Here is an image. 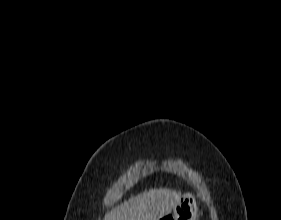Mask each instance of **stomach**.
<instances>
[{
    "mask_svg": "<svg viewBox=\"0 0 281 220\" xmlns=\"http://www.w3.org/2000/svg\"><path fill=\"white\" fill-rule=\"evenodd\" d=\"M197 205L194 197L187 193L184 194L172 214L162 217V220H196Z\"/></svg>",
    "mask_w": 281,
    "mask_h": 220,
    "instance_id": "1",
    "label": "stomach"
}]
</instances>
